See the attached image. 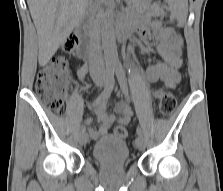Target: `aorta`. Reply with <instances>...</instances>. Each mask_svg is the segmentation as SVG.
Wrapping results in <instances>:
<instances>
[{
    "label": "aorta",
    "mask_w": 223,
    "mask_h": 191,
    "mask_svg": "<svg viewBox=\"0 0 223 191\" xmlns=\"http://www.w3.org/2000/svg\"><path fill=\"white\" fill-rule=\"evenodd\" d=\"M114 8L109 6L102 20V48L108 66L119 64L116 38L114 34Z\"/></svg>",
    "instance_id": "1"
}]
</instances>
